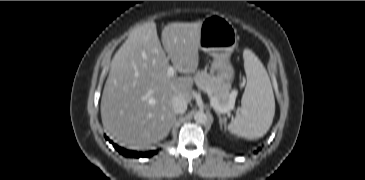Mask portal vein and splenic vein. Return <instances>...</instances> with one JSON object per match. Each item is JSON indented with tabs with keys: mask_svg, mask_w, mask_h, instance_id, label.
Segmentation results:
<instances>
[{
	"mask_svg": "<svg viewBox=\"0 0 365 180\" xmlns=\"http://www.w3.org/2000/svg\"><path fill=\"white\" fill-rule=\"evenodd\" d=\"M175 74V69L172 66H169L167 69V75L168 77H173ZM210 104L211 106L218 112L220 113H229L230 110L233 109L234 106H227V107H222L220 106V104L218 103L217 99L214 97H211L210 99Z\"/></svg>",
	"mask_w": 365,
	"mask_h": 180,
	"instance_id": "portal-vein-and-splenic-vein-1",
	"label": "portal vein and splenic vein"
}]
</instances>
